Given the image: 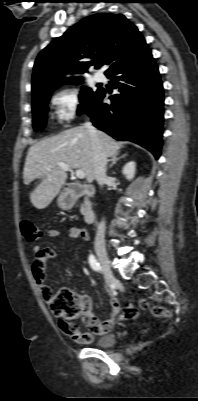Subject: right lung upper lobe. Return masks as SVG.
Segmentation results:
<instances>
[{
    "label": "right lung upper lobe",
    "instance_id": "cb5924a9",
    "mask_svg": "<svg viewBox=\"0 0 198 401\" xmlns=\"http://www.w3.org/2000/svg\"><path fill=\"white\" fill-rule=\"evenodd\" d=\"M146 45L137 27L122 14H95L84 18L53 40L38 55L32 75V98L66 83L64 75L87 72L98 61L109 73Z\"/></svg>",
    "mask_w": 198,
    "mask_h": 401
}]
</instances>
